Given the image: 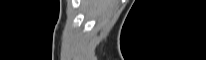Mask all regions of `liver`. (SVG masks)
I'll use <instances>...</instances> for the list:
<instances>
[{
    "label": "liver",
    "instance_id": "1",
    "mask_svg": "<svg viewBox=\"0 0 206 60\" xmlns=\"http://www.w3.org/2000/svg\"><path fill=\"white\" fill-rule=\"evenodd\" d=\"M82 5L86 16L101 19L113 11L116 2L114 0H83Z\"/></svg>",
    "mask_w": 206,
    "mask_h": 60
}]
</instances>
